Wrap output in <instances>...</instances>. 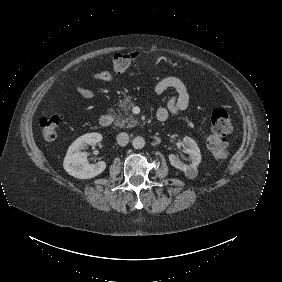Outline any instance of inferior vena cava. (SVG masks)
<instances>
[{"label":"inferior vena cava","mask_w":282,"mask_h":282,"mask_svg":"<svg viewBox=\"0 0 282 282\" xmlns=\"http://www.w3.org/2000/svg\"><path fill=\"white\" fill-rule=\"evenodd\" d=\"M129 142V135L126 132H121L117 135V143L120 146H125Z\"/></svg>","instance_id":"1"}]
</instances>
